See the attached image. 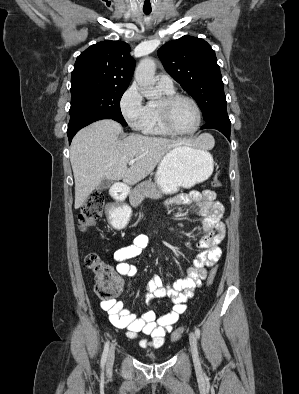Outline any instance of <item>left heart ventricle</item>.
<instances>
[{"label":"left heart ventricle","mask_w":299,"mask_h":394,"mask_svg":"<svg viewBox=\"0 0 299 394\" xmlns=\"http://www.w3.org/2000/svg\"><path fill=\"white\" fill-rule=\"evenodd\" d=\"M171 120L177 130L190 131L197 122L196 110L189 101L179 100L171 109Z\"/></svg>","instance_id":"b2bd125f"}]
</instances>
